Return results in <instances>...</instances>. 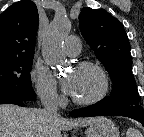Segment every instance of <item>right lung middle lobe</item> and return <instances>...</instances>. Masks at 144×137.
<instances>
[{
  "instance_id": "1",
  "label": "right lung middle lobe",
  "mask_w": 144,
  "mask_h": 137,
  "mask_svg": "<svg viewBox=\"0 0 144 137\" xmlns=\"http://www.w3.org/2000/svg\"><path fill=\"white\" fill-rule=\"evenodd\" d=\"M33 57H21L0 63V98L35 100L30 77Z\"/></svg>"
}]
</instances>
